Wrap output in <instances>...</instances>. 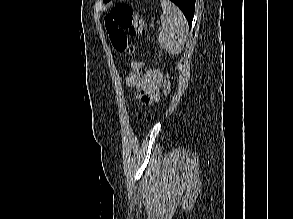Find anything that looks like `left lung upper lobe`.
Here are the masks:
<instances>
[{
  "mask_svg": "<svg viewBox=\"0 0 293 219\" xmlns=\"http://www.w3.org/2000/svg\"><path fill=\"white\" fill-rule=\"evenodd\" d=\"M109 1H110V0H103L104 3H107V2H109Z\"/></svg>",
  "mask_w": 293,
  "mask_h": 219,
  "instance_id": "5c2ea615",
  "label": "left lung upper lobe"
}]
</instances>
